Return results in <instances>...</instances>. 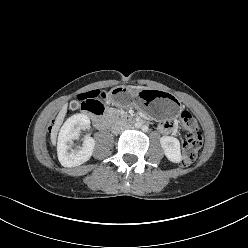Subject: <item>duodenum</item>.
Here are the masks:
<instances>
[{
    "instance_id": "1",
    "label": "duodenum",
    "mask_w": 248,
    "mask_h": 248,
    "mask_svg": "<svg viewBox=\"0 0 248 248\" xmlns=\"http://www.w3.org/2000/svg\"><path fill=\"white\" fill-rule=\"evenodd\" d=\"M84 110L93 117L96 126L101 129L107 128L111 123L116 121L126 122V123L132 121L131 117L127 115H119V114L101 115L100 112H97L89 107L84 108Z\"/></svg>"
}]
</instances>
